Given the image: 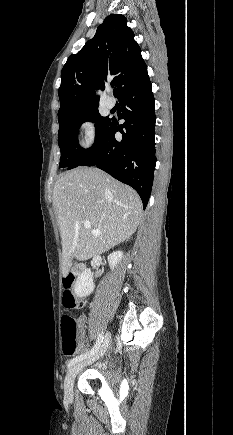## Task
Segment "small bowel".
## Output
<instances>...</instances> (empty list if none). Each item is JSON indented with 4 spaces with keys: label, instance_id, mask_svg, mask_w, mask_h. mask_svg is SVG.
I'll return each mask as SVG.
<instances>
[{
    "label": "small bowel",
    "instance_id": "obj_1",
    "mask_svg": "<svg viewBox=\"0 0 233 435\" xmlns=\"http://www.w3.org/2000/svg\"><path fill=\"white\" fill-rule=\"evenodd\" d=\"M80 304H81L80 307H83L84 303H83V302H80ZM77 341H78V344H79V346H80L81 348H84V347H85V342H86V328H85V325H84L83 320H80V321H79V335H78V339H77Z\"/></svg>",
    "mask_w": 233,
    "mask_h": 435
}]
</instances>
